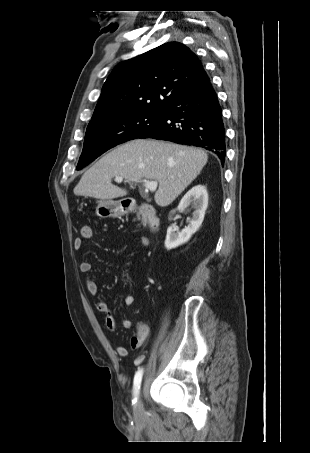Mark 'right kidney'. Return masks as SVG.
Masks as SVG:
<instances>
[{
	"label": "right kidney",
	"mask_w": 310,
	"mask_h": 453,
	"mask_svg": "<svg viewBox=\"0 0 310 453\" xmlns=\"http://www.w3.org/2000/svg\"><path fill=\"white\" fill-rule=\"evenodd\" d=\"M190 205L194 212L189 225L182 231L172 227L167 229L165 247L168 250L188 242L191 236L200 228L208 206V193L205 186L199 184L191 188L181 199L178 209L184 210ZM174 212L172 211V213Z\"/></svg>",
	"instance_id": "obj_1"
}]
</instances>
